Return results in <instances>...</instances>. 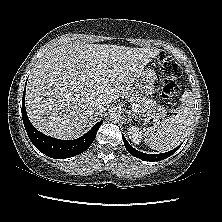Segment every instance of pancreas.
<instances>
[{
	"label": "pancreas",
	"instance_id": "cf45deb5",
	"mask_svg": "<svg viewBox=\"0 0 222 222\" xmlns=\"http://www.w3.org/2000/svg\"><path fill=\"white\" fill-rule=\"evenodd\" d=\"M126 96L132 104L136 105V110L139 114L153 119L166 116V109L156 104L153 99L143 97L134 90L128 91Z\"/></svg>",
	"mask_w": 222,
	"mask_h": 222
}]
</instances>
